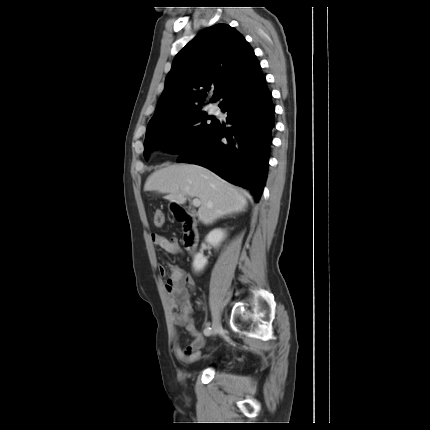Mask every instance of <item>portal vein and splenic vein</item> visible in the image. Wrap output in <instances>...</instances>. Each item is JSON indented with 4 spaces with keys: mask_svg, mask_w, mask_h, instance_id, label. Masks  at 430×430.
I'll list each match as a JSON object with an SVG mask.
<instances>
[{
    "mask_svg": "<svg viewBox=\"0 0 430 430\" xmlns=\"http://www.w3.org/2000/svg\"><path fill=\"white\" fill-rule=\"evenodd\" d=\"M192 203L195 207H199L201 204V202L198 198L193 199Z\"/></svg>",
    "mask_w": 430,
    "mask_h": 430,
    "instance_id": "1",
    "label": "portal vein and splenic vein"
}]
</instances>
